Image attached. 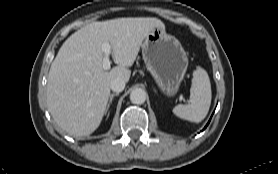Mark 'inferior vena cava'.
I'll use <instances>...</instances> for the list:
<instances>
[{
	"mask_svg": "<svg viewBox=\"0 0 278 174\" xmlns=\"http://www.w3.org/2000/svg\"><path fill=\"white\" fill-rule=\"evenodd\" d=\"M110 88L114 92H122L125 88V81L120 78H115L111 81Z\"/></svg>",
	"mask_w": 278,
	"mask_h": 174,
	"instance_id": "602c4592",
	"label": "inferior vena cava"
}]
</instances>
